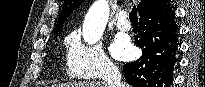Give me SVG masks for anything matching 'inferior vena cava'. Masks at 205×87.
Segmentation results:
<instances>
[{"instance_id": "1", "label": "inferior vena cava", "mask_w": 205, "mask_h": 87, "mask_svg": "<svg viewBox=\"0 0 205 87\" xmlns=\"http://www.w3.org/2000/svg\"><path fill=\"white\" fill-rule=\"evenodd\" d=\"M103 79L108 87H124L119 69L112 64L106 67Z\"/></svg>"}]
</instances>
